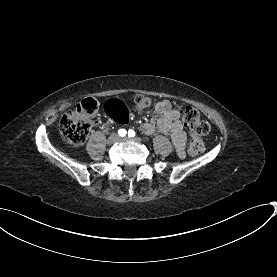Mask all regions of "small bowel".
<instances>
[{
    "instance_id": "1",
    "label": "small bowel",
    "mask_w": 277,
    "mask_h": 277,
    "mask_svg": "<svg viewBox=\"0 0 277 277\" xmlns=\"http://www.w3.org/2000/svg\"><path fill=\"white\" fill-rule=\"evenodd\" d=\"M156 118L154 121L144 123L141 130L146 135H152L157 130L170 133L176 153L184 157L186 146V134L180 120L179 111L167 100H161L154 106Z\"/></svg>"
}]
</instances>
